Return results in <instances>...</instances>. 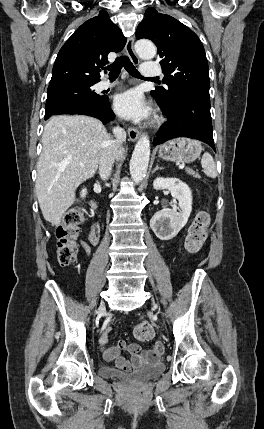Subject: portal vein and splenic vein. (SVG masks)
Listing matches in <instances>:
<instances>
[{"label": "portal vein and splenic vein", "instance_id": "obj_1", "mask_svg": "<svg viewBox=\"0 0 264 429\" xmlns=\"http://www.w3.org/2000/svg\"><path fill=\"white\" fill-rule=\"evenodd\" d=\"M81 167H83V165L81 164ZM185 168V164H180L179 165V169H184Z\"/></svg>", "mask_w": 264, "mask_h": 429}]
</instances>
